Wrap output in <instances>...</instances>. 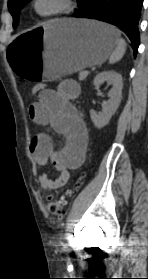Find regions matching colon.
<instances>
[{
    "mask_svg": "<svg viewBox=\"0 0 148 279\" xmlns=\"http://www.w3.org/2000/svg\"><path fill=\"white\" fill-rule=\"evenodd\" d=\"M45 90H46L45 84L39 83L32 87L31 93L33 95L40 96V94ZM83 177H84L83 175L80 176L74 182L72 187L69 188L68 190H66L62 195L55 197V198H52V197L49 198L47 208H48V211L50 214L57 216V217L62 216L63 208L66 204L67 197L80 188V186L82 185Z\"/></svg>",
    "mask_w": 148,
    "mask_h": 279,
    "instance_id": "5ec220e1",
    "label": "colon"
}]
</instances>
